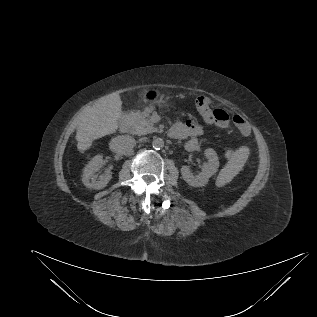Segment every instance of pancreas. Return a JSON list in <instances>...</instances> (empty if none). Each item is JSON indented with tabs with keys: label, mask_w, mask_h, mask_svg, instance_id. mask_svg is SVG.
<instances>
[{
	"label": "pancreas",
	"mask_w": 317,
	"mask_h": 317,
	"mask_svg": "<svg viewBox=\"0 0 317 317\" xmlns=\"http://www.w3.org/2000/svg\"><path fill=\"white\" fill-rule=\"evenodd\" d=\"M150 109L143 112L132 113L130 115V129L129 132L135 135H144L157 131L154 124L149 119Z\"/></svg>",
	"instance_id": "obj_1"
}]
</instances>
